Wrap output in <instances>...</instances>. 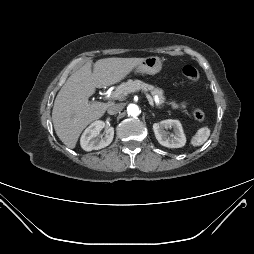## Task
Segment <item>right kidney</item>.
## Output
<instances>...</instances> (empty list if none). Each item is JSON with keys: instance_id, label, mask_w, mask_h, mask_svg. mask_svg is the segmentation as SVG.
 <instances>
[{"instance_id": "obj_1", "label": "right kidney", "mask_w": 254, "mask_h": 254, "mask_svg": "<svg viewBox=\"0 0 254 254\" xmlns=\"http://www.w3.org/2000/svg\"><path fill=\"white\" fill-rule=\"evenodd\" d=\"M105 122L97 120L86 128L80 139V145L85 151L99 150L108 146L114 137V128L107 126L104 137H99Z\"/></svg>"}]
</instances>
